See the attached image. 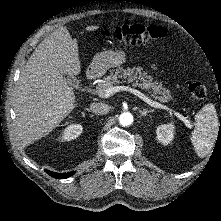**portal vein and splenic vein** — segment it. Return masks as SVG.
<instances>
[{
  "mask_svg": "<svg viewBox=\"0 0 221 221\" xmlns=\"http://www.w3.org/2000/svg\"><path fill=\"white\" fill-rule=\"evenodd\" d=\"M119 91L130 92V93H132L135 96L139 97L144 102H146L147 104H149L150 106H152L154 108H159V109L167 110L170 113H173L176 117H178L180 120H182L184 123H186L189 128H192V122L190 120H188L186 117H184L180 113L172 110L171 108H169V107H167V106H165V105H163L161 103L153 101L152 99H150L149 97L144 95L139 90H137L135 88H132L130 86H112L111 88L107 89L105 92H101L98 95L100 97H102V98H108V97L112 96L114 93L119 92Z\"/></svg>",
  "mask_w": 221,
  "mask_h": 221,
  "instance_id": "portal-vein-and-splenic-vein-1",
  "label": "portal vein and splenic vein"
}]
</instances>
